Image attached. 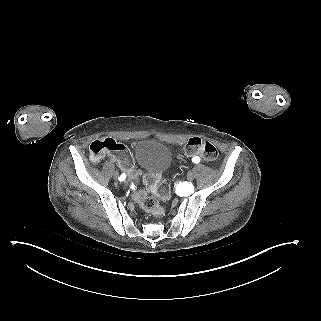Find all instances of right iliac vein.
<instances>
[{"instance_id": "1", "label": "right iliac vein", "mask_w": 321, "mask_h": 321, "mask_svg": "<svg viewBox=\"0 0 321 321\" xmlns=\"http://www.w3.org/2000/svg\"><path fill=\"white\" fill-rule=\"evenodd\" d=\"M113 178H114L115 180H118L119 174H118L117 171H114V172H113Z\"/></svg>"}]
</instances>
